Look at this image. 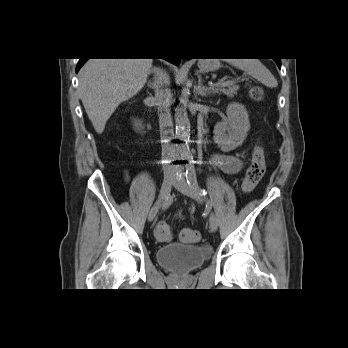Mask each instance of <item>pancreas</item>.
Listing matches in <instances>:
<instances>
[{"label": "pancreas", "mask_w": 348, "mask_h": 348, "mask_svg": "<svg viewBox=\"0 0 348 348\" xmlns=\"http://www.w3.org/2000/svg\"><path fill=\"white\" fill-rule=\"evenodd\" d=\"M212 93H220L224 94L228 97H233L234 95L237 94V91L239 90V86L236 84V82H232L228 86L224 87H211Z\"/></svg>", "instance_id": "1"}]
</instances>
